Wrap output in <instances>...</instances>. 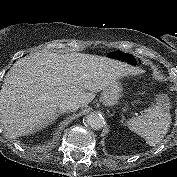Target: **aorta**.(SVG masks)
<instances>
[{"label": "aorta", "instance_id": "aorta-1", "mask_svg": "<svg viewBox=\"0 0 177 177\" xmlns=\"http://www.w3.org/2000/svg\"><path fill=\"white\" fill-rule=\"evenodd\" d=\"M86 123L94 130L102 129L105 125L104 118L96 113H91L86 117Z\"/></svg>", "mask_w": 177, "mask_h": 177}]
</instances>
